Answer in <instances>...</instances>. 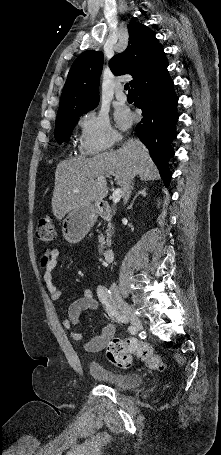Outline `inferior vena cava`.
<instances>
[{
  "label": "inferior vena cava",
  "mask_w": 221,
  "mask_h": 455,
  "mask_svg": "<svg viewBox=\"0 0 221 455\" xmlns=\"http://www.w3.org/2000/svg\"><path fill=\"white\" fill-rule=\"evenodd\" d=\"M133 185H134V182H133V180H132V181L129 183L128 188H127V190H126V193H125V195H124V203H127L128 199H129V197H130V194H131V190L133 189ZM115 286H116V285H115V283H114V284H113V287H115Z\"/></svg>",
  "instance_id": "obj_1"
}]
</instances>
